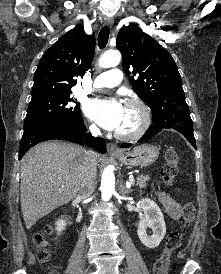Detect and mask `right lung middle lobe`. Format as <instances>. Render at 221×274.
Masks as SVG:
<instances>
[{
	"label": "right lung middle lobe",
	"instance_id": "dd1d6c3e",
	"mask_svg": "<svg viewBox=\"0 0 221 274\" xmlns=\"http://www.w3.org/2000/svg\"><path fill=\"white\" fill-rule=\"evenodd\" d=\"M49 119L83 121L80 104L71 96V93L32 99L28 106L24 126Z\"/></svg>",
	"mask_w": 221,
	"mask_h": 274
}]
</instances>
